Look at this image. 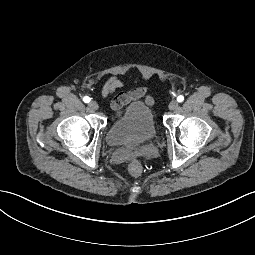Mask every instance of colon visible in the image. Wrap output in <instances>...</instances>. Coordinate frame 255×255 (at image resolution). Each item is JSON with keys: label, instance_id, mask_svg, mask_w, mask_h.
<instances>
[{"label": "colon", "instance_id": "5ec220e1", "mask_svg": "<svg viewBox=\"0 0 255 255\" xmlns=\"http://www.w3.org/2000/svg\"><path fill=\"white\" fill-rule=\"evenodd\" d=\"M128 169L133 177H139L143 172L142 165L136 160L129 163Z\"/></svg>", "mask_w": 255, "mask_h": 255}]
</instances>
